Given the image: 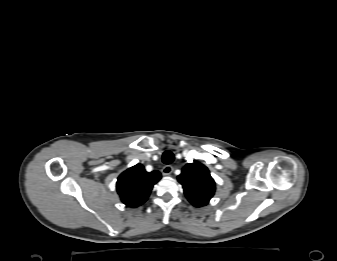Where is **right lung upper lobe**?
<instances>
[{
    "instance_id": "cb5924a9",
    "label": "right lung upper lobe",
    "mask_w": 337,
    "mask_h": 261,
    "mask_svg": "<svg viewBox=\"0 0 337 261\" xmlns=\"http://www.w3.org/2000/svg\"><path fill=\"white\" fill-rule=\"evenodd\" d=\"M160 179V172L148 173L143 165L137 164L118 177L117 192L125 205L136 208L148 199L154 184Z\"/></svg>"
}]
</instances>
